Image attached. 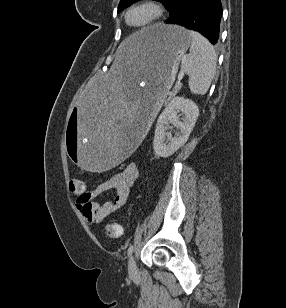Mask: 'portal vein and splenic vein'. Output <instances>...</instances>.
I'll use <instances>...</instances> for the list:
<instances>
[{"mask_svg":"<svg viewBox=\"0 0 286 308\" xmlns=\"http://www.w3.org/2000/svg\"><path fill=\"white\" fill-rule=\"evenodd\" d=\"M183 72H180L178 75L177 85H181V80L183 79Z\"/></svg>","mask_w":286,"mask_h":308,"instance_id":"obj_1","label":"portal vein and splenic vein"}]
</instances>
